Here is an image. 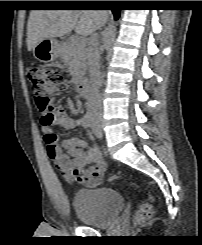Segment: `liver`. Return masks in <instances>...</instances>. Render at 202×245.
Segmentation results:
<instances>
[{"label":"liver","instance_id":"obj_1","mask_svg":"<svg viewBox=\"0 0 202 245\" xmlns=\"http://www.w3.org/2000/svg\"><path fill=\"white\" fill-rule=\"evenodd\" d=\"M108 19V12L94 10H32L27 23V49L43 39L62 37L75 29L83 36L93 34Z\"/></svg>","mask_w":202,"mask_h":245}]
</instances>
